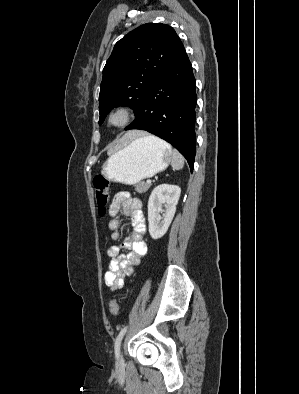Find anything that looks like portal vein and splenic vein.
I'll return each instance as SVG.
<instances>
[{
    "label": "portal vein and splenic vein",
    "instance_id": "obj_1",
    "mask_svg": "<svg viewBox=\"0 0 299 394\" xmlns=\"http://www.w3.org/2000/svg\"><path fill=\"white\" fill-rule=\"evenodd\" d=\"M146 182H147V184H151L152 181H151V179H147Z\"/></svg>",
    "mask_w": 299,
    "mask_h": 394
}]
</instances>
